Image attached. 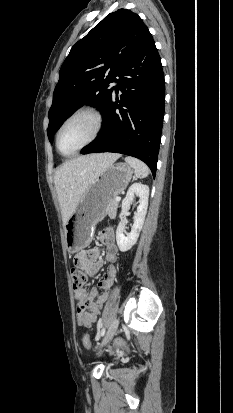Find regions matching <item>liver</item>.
I'll return each mask as SVG.
<instances>
[{
  "label": "liver",
  "mask_w": 233,
  "mask_h": 413,
  "mask_svg": "<svg viewBox=\"0 0 233 413\" xmlns=\"http://www.w3.org/2000/svg\"><path fill=\"white\" fill-rule=\"evenodd\" d=\"M118 158V154H91L70 160L57 168L54 183L64 226L74 213L85 190L100 172L111 166Z\"/></svg>",
  "instance_id": "6515ba94"
}]
</instances>
